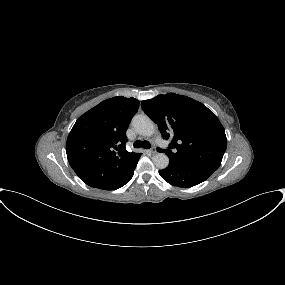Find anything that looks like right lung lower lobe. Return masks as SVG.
<instances>
[{
  "label": "right lung lower lobe",
  "instance_id": "right-lung-lower-lobe-1",
  "mask_svg": "<svg viewBox=\"0 0 285 285\" xmlns=\"http://www.w3.org/2000/svg\"><path fill=\"white\" fill-rule=\"evenodd\" d=\"M133 174H134V171H133V172L130 174V176H129L127 179H125L124 181H122V182H120V183H118V184H115V185H113V186L104 188L103 190H115V189H118V188L124 186L127 182L130 181V179L132 178Z\"/></svg>",
  "mask_w": 285,
  "mask_h": 285
}]
</instances>
